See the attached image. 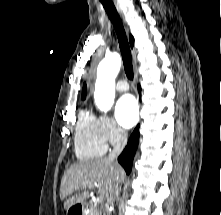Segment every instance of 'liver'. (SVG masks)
<instances>
[{"label":"liver","instance_id":"obj_1","mask_svg":"<svg viewBox=\"0 0 221 215\" xmlns=\"http://www.w3.org/2000/svg\"><path fill=\"white\" fill-rule=\"evenodd\" d=\"M123 178V168L114 161H108L107 158L73 164L66 170L61 180L60 199H66L64 209L68 210L82 203L88 194L86 188H91L88 184L94 183L98 184L100 197H105L108 202H112L115 190ZM80 188L84 190L82 193L72 195Z\"/></svg>","mask_w":221,"mask_h":215}]
</instances>
